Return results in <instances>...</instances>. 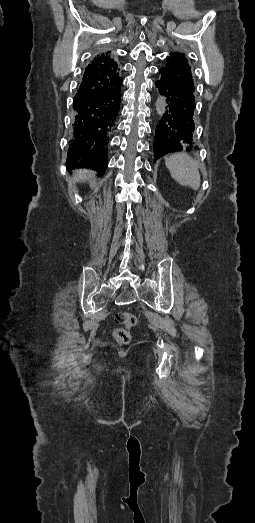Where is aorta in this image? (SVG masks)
I'll use <instances>...</instances> for the list:
<instances>
[{
  "label": "aorta",
  "instance_id": "obj_1",
  "mask_svg": "<svg viewBox=\"0 0 255 523\" xmlns=\"http://www.w3.org/2000/svg\"><path fill=\"white\" fill-rule=\"evenodd\" d=\"M156 111L159 116H162L165 108V102L163 97H158L155 103Z\"/></svg>",
  "mask_w": 255,
  "mask_h": 523
}]
</instances>
